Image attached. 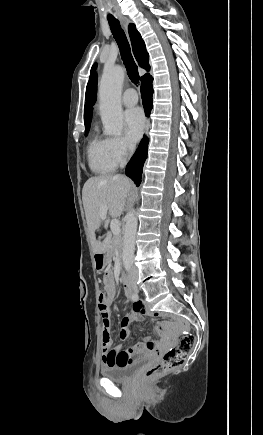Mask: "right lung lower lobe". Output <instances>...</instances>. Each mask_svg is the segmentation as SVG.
Masks as SVG:
<instances>
[{"instance_id": "1", "label": "right lung lower lobe", "mask_w": 263, "mask_h": 435, "mask_svg": "<svg viewBox=\"0 0 263 435\" xmlns=\"http://www.w3.org/2000/svg\"><path fill=\"white\" fill-rule=\"evenodd\" d=\"M152 81L153 78L150 74H148L141 80V97L143 100V106H144L146 116H149L150 111L153 107ZM147 144H148V139L147 137L144 136V139H142V141L140 142L139 147L137 148L136 152L132 156L126 168V175L129 176L137 186L141 182L142 169H143L145 159L147 157Z\"/></svg>"}]
</instances>
